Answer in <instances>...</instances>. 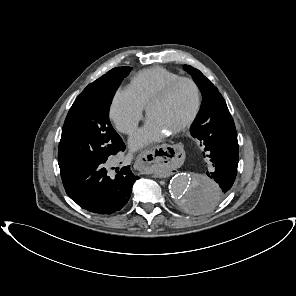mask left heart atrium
Segmentation results:
<instances>
[{
  "instance_id": "left-heart-atrium-1",
  "label": "left heart atrium",
  "mask_w": 296,
  "mask_h": 296,
  "mask_svg": "<svg viewBox=\"0 0 296 296\" xmlns=\"http://www.w3.org/2000/svg\"><path fill=\"white\" fill-rule=\"evenodd\" d=\"M169 134L156 121L149 118L146 125L139 130L130 140V145L134 150L143 148L150 143L156 142Z\"/></svg>"
}]
</instances>
